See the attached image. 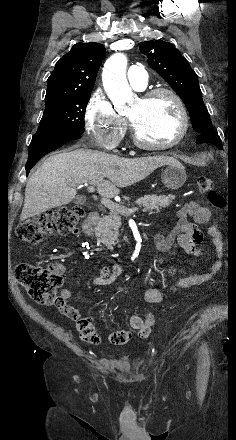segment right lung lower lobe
<instances>
[{
    "mask_svg": "<svg viewBox=\"0 0 236 440\" xmlns=\"http://www.w3.org/2000/svg\"><path fill=\"white\" fill-rule=\"evenodd\" d=\"M81 134L62 133V134H35L29 146V157L26 163V175L31 168L47 153L54 151L63 144L79 139Z\"/></svg>",
    "mask_w": 236,
    "mask_h": 440,
    "instance_id": "obj_1",
    "label": "right lung lower lobe"
}]
</instances>
